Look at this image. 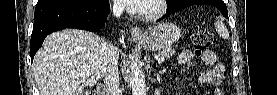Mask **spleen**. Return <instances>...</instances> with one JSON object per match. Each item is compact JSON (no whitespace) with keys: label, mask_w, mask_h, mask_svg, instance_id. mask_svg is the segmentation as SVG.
<instances>
[{"label":"spleen","mask_w":277,"mask_h":95,"mask_svg":"<svg viewBox=\"0 0 277 95\" xmlns=\"http://www.w3.org/2000/svg\"><path fill=\"white\" fill-rule=\"evenodd\" d=\"M216 31L220 35L221 38L223 39H228L229 38V32L228 29L226 28L225 24L222 21H217L216 22Z\"/></svg>","instance_id":"obj_1"}]
</instances>
